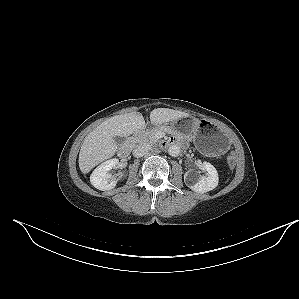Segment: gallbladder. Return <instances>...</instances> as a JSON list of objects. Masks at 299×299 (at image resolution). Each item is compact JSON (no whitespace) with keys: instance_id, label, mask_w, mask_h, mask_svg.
I'll return each mask as SVG.
<instances>
[{"instance_id":"obj_1","label":"gallbladder","mask_w":299,"mask_h":299,"mask_svg":"<svg viewBox=\"0 0 299 299\" xmlns=\"http://www.w3.org/2000/svg\"><path fill=\"white\" fill-rule=\"evenodd\" d=\"M114 140L118 145H121L124 142V138L121 136H115Z\"/></svg>"}]
</instances>
